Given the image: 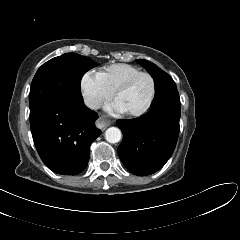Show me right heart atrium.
I'll return each instance as SVG.
<instances>
[{
    "label": "right heart atrium",
    "instance_id": "1",
    "mask_svg": "<svg viewBox=\"0 0 240 240\" xmlns=\"http://www.w3.org/2000/svg\"><path fill=\"white\" fill-rule=\"evenodd\" d=\"M80 87L85 103L92 109L99 108L114 95V91L97 74L83 75Z\"/></svg>",
    "mask_w": 240,
    "mask_h": 240
}]
</instances>
